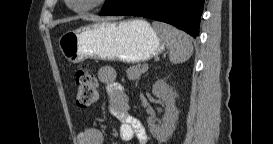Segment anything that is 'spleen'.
I'll list each match as a JSON object with an SVG mask.
<instances>
[{
  "instance_id": "3e777b00",
  "label": "spleen",
  "mask_w": 273,
  "mask_h": 144,
  "mask_svg": "<svg viewBox=\"0 0 273 144\" xmlns=\"http://www.w3.org/2000/svg\"><path fill=\"white\" fill-rule=\"evenodd\" d=\"M153 28L159 33L169 49V59L172 63H183L191 57L193 46L188 34L171 25L160 22H153Z\"/></svg>"
}]
</instances>
